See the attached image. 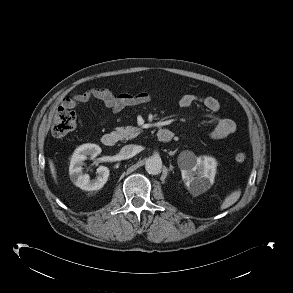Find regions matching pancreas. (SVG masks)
<instances>
[{
  "label": "pancreas",
  "instance_id": "1",
  "mask_svg": "<svg viewBox=\"0 0 293 293\" xmlns=\"http://www.w3.org/2000/svg\"><path fill=\"white\" fill-rule=\"evenodd\" d=\"M116 133L119 136L120 140H130L140 134V129L132 126L117 127Z\"/></svg>",
  "mask_w": 293,
  "mask_h": 293
}]
</instances>
